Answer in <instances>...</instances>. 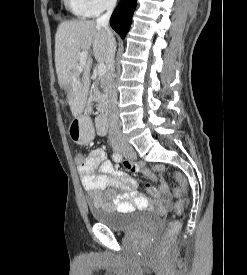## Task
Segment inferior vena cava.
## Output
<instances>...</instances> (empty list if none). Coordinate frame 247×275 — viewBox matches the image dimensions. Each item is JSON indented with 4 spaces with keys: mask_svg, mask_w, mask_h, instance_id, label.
<instances>
[{
    "mask_svg": "<svg viewBox=\"0 0 247 275\" xmlns=\"http://www.w3.org/2000/svg\"><path fill=\"white\" fill-rule=\"evenodd\" d=\"M116 6V0H108L106 4V13L96 20L98 27H103L107 34V52L106 63L108 72L105 77V87L108 93V138L113 147L119 146L125 142V137L121 132V125L117 110V87L113 78L115 70V51L116 41L109 29V19Z\"/></svg>",
    "mask_w": 247,
    "mask_h": 275,
    "instance_id": "1",
    "label": "inferior vena cava"
}]
</instances>
